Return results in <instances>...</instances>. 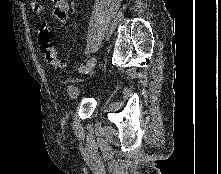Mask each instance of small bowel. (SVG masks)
<instances>
[{"mask_svg":"<svg viewBox=\"0 0 221 174\" xmlns=\"http://www.w3.org/2000/svg\"><path fill=\"white\" fill-rule=\"evenodd\" d=\"M31 11L35 15L42 12V5L40 0H32L30 3ZM69 3L68 0H54L52 6V16L58 21L60 25H65L68 17Z\"/></svg>","mask_w":221,"mask_h":174,"instance_id":"small-bowel-1","label":"small bowel"}]
</instances>
